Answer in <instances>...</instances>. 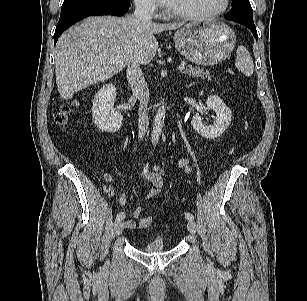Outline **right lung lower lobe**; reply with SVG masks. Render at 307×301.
Here are the masks:
<instances>
[{
	"label": "right lung lower lobe",
	"instance_id": "1",
	"mask_svg": "<svg viewBox=\"0 0 307 301\" xmlns=\"http://www.w3.org/2000/svg\"><path fill=\"white\" fill-rule=\"evenodd\" d=\"M129 10V1L95 0L61 10L54 34V44L59 36L72 24L92 15L122 16Z\"/></svg>",
	"mask_w": 307,
	"mask_h": 301
}]
</instances>
